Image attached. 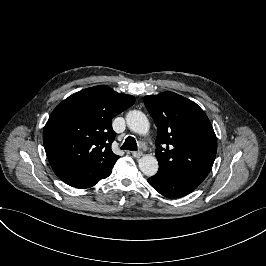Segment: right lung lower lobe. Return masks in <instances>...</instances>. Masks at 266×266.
Here are the masks:
<instances>
[{
    "instance_id": "1",
    "label": "right lung lower lobe",
    "mask_w": 266,
    "mask_h": 266,
    "mask_svg": "<svg viewBox=\"0 0 266 266\" xmlns=\"http://www.w3.org/2000/svg\"><path fill=\"white\" fill-rule=\"evenodd\" d=\"M109 175H110V174H109ZM109 175L103 177L102 179L108 177ZM100 180H101V179H100ZM98 181H99V180H96V181H93V182H91V183H87V184H85L84 186L76 187V188H88V187H91V186L95 185Z\"/></svg>"
}]
</instances>
